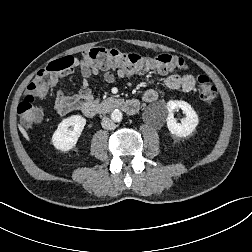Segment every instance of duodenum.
Masks as SVG:
<instances>
[{"label": "duodenum", "mask_w": 252, "mask_h": 252, "mask_svg": "<svg viewBox=\"0 0 252 252\" xmlns=\"http://www.w3.org/2000/svg\"><path fill=\"white\" fill-rule=\"evenodd\" d=\"M140 103L136 99H108L103 102H87L83 105L82 111L87 116L107 113L114 109H122L127 114L133 115L138 112Z\"/></svg>", "instance_id": "duodenum-1"}]
</instances>
